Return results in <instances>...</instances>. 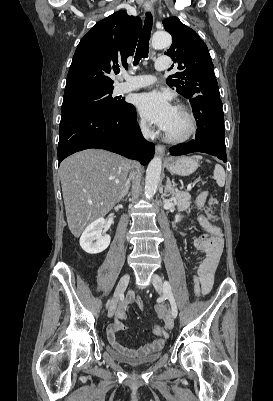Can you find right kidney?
I'll return each instance as SVG.
<instances>
[{"mask_svg":"<svg viewBox=\"0 0 273 401\" xmlns=\"http://www.w3.org/2000/svg\"><path fill=\"white\" fill-rule=\"evenodd\" d=\"M106 225L105 219H97L93 221L89 227H86L84 233L80 237V247L90 255L102 253L110 245V235H102V229Z\"/></svg>","mask_w":273,"mask_h":401,"instance_id":"ca27d5eb","label":"right kidney"}]
</instances>
